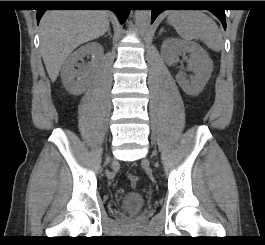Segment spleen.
<instances>
[{
    "label": "spleen",
    "mask_w": 265,
    "mask_h": 245,
    "mask_svg": "<svg viewBox=\"0 0 265 245\" xmlns=\"http://www.w3.org/2000/svg\"><path fill=\"white\" fill-rule=\"evenodd\" d=\"M169 23L186 41L201 40L213 51L223 48V39L216 23L201 11H172Z\"/></svg>",
    "instance_id": "spleen-1"
}]
</instances>
